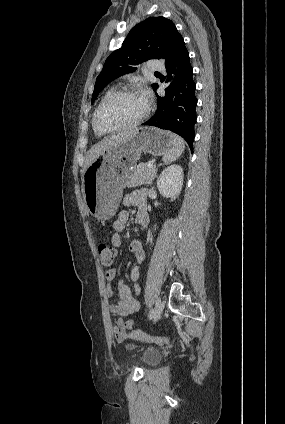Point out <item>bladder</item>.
<instances>
[{
	"mask_svg": "<svg viewBox=\"0 0 285 424\" xmlns=\"http://www.w3.org/2000/svg\"><path fill=\"white\" fill-rule=\"evenodd\" d=\"M162 354L159 350L145 349L141 354V359L148 365L156 364L161 360Z\"/></svg>",
	"mask_w": 285,
	"mask_h": 424,
	"instance_id": "31cf9c89",
	"label": "bladder"
}]
</instances>
